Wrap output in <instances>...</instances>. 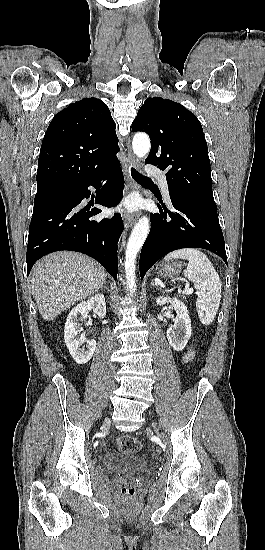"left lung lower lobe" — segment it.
Listing matches in <instances>:
<instances>
[{
  "mask_svg": "<svg viewBox=\"0 0 265 550\" xmlns=\"http://www.w3.org/2000/svg\"><path fill=\"white\" fill-rule=\"evenodd\" d=\"M173 210L157 204L160 213L151 214V229L140 254L139 269L145 273L161 257L181 248H204L227 264L223 233L217 209L189 198H171Z\"/></svg>",
  "mask_w": 265,
  "mask_h": 550,
  "instance_id": "0a47b994",
  "label": "left lung lower lobe"
}]
</instances>
